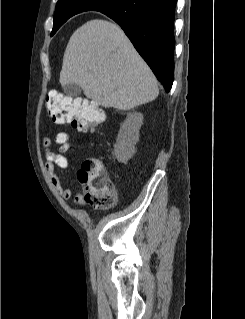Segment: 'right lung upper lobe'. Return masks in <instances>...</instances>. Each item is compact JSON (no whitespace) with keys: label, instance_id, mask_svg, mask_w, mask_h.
<instances>
[{"label":"right lung upper lobe","instance_id":"obj_1","mask_svg":"<svg viewBox=\"0 0 245 319\" xmlns=\"http://www.w3.org/2000/svg\"><path fill=\"white\" fill-rule=\"evenodd\" d=\"M58 1H62V0H58ZM65 1H69L71 2L70 6L68 7V16L67 18L61 23V25L67 20L69 19L71 16L80 13V12H84L83 8L80 6V4L82 3L83 0H65ZM104 10V9H103ZM102 11V10H100Z\"/></svg>","mask_w":245,"mask_h":319}]
</instances>
